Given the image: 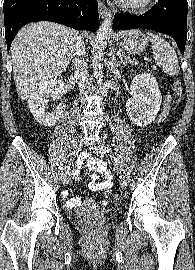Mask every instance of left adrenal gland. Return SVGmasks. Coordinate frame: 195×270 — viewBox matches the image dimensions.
<instances>
[{
    "instance_id": "a2214340",
    "label": "left adrenal gland",
    "mask_w": 195,
    "mask_h": 270,
    "mask_svg": "<svg viewBox=\"0 0 195 270\" xmlns=\"http://www.w3.org/2000/svg\"><path fill=\"white\" fill-rule=\"evenodd\" d=\"M113 60H116V59H115V56H113ZM117 66H118V63H117Z\"/></svg>"
}]
</instances>
